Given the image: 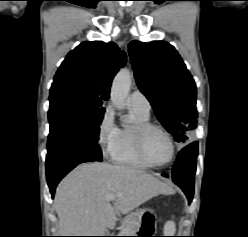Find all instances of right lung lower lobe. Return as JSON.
I'll return each instance as SVG.
<instances>
[{"label": "right lung lower lobe", "mask_w": 248, "mask_h": 237, "mask_svg": "<svg viewBox=\"0 0 248 237\" xmlns=\"http://www.w3.org/2000/svg\"><path fill=\"white\" fill-rule=\"evenodd\" d=\"M47 149L46 175L52 197L59 181L78 164L102 161V152L97 142L91 140L49 137Z\"/></svg>", "instance_id": "1"}]
</instances>
